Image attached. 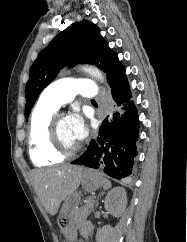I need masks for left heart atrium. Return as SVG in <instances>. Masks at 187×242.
<instances>
[{"label": "left heart atrium", "instance_id": "left-heart-atrium-1", "mask_svg": "<svg viewBox=\"0 0 187 242\" xmlns=\"http://www.w3.org/2000/svg\"><path fill=\"white\" fill-rule=\"evenodd\" d=\"M68 122L74 138L78 142L83 140L87 133L83 118L75 113L68 117Z\"/></svg>", "mask_w": 187, "mask_h": 242}]
</instances>
